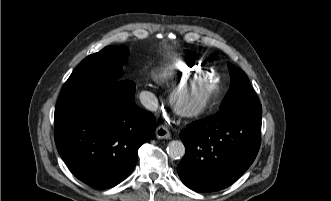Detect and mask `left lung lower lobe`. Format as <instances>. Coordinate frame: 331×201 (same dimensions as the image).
I'll return each instance as SVG.
<instances>
[{
	"label": "left lung lower lobe",
	"mask_w": 331,
	"mask_h": 201,
	"mask_svg": "<svg viewBox=\"0 0 331 201\" xmlns=\"http://www.w3.org/2000/svg\"><path fill=\"white\" fill-rule=\"evenodd\" d=\"M260 102L221 109L190 123L180 137L186 153L178 167L182 182L196 192L222 190L253 163L259 147Z\"/></svg>",
	"instance_id": "1"
}]
</instances>
